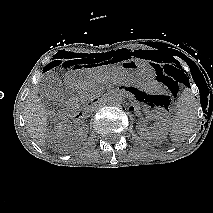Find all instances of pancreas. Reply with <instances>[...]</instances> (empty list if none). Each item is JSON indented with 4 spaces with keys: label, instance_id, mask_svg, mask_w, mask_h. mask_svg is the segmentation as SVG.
I'll return each mask as SVG.
<instances>
[{
    "label": "pancreas",
    "instance_id": "cf45deb5",
    "mask_svg": "<svg viewBox=\"0 0 213 213\" xmlns=\"http://www.w3.org/2000/svg\"><path fill=\"white\" fill-rule=\"evenodd\" d=\"M78 94L80 96L81 103H87V102L91 101L98 95L96 83L87 82L85 85H83L80 88V90L78 91Z\"/></svg>",
    "mask_w": 213,
    "mask_h": 213
}]
</instances>
